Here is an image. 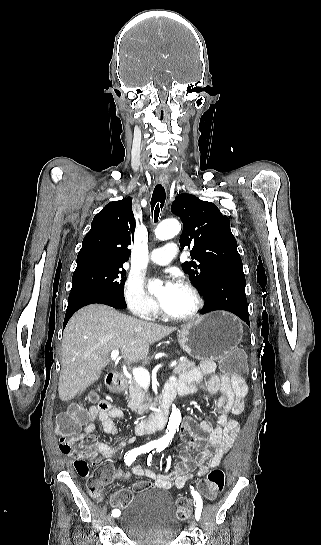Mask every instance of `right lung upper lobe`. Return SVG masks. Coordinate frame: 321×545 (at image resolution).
<instances>
[{"label":"right lung upper lobe","instance_id":"cb5924a9","mask_svg":"<svg viewBox=\"0 0 321 545\" xmlns=\"http://www.w3.org/2000/svg\"><path fill=\"white\" fill-rule=\"evenodd\" d=\"M135 224L131 198L108 203L95 215L83 239L76 268L123 265L130 256L131 250L127 247L133 242Z\"/></svg>","mask_w":321,"mask_h":545}]
</instances>
